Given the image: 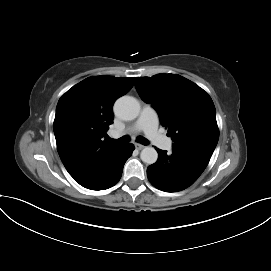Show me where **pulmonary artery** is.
<instances>
[{
	"label": "pulmonary artery",
	"instance_id": "pulmonary-artery-1",
	"mask_svg": "<svg viewBox=\"0 0 271 271\" xmlns=\"http://www.w3.org/2000/svg\"><path fill=\"white\" fill-rule=\"evenodd\" d=\"M139 131L144 132L148 139L159 148L164 150L171 149L172 141L158 131V115L150 106H145L142 109L137 121L130 129V132ZM118 135L119 133H113L114 137Z\"/></svg>",
	"mask_w": 271,
	"mask_h": 271
}]
</instances>
